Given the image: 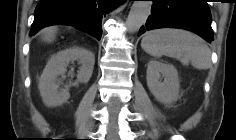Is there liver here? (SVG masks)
<instances>
[{"label":"liver","mask_w":236,"mask_h":140,"mask_svg":"<svg viewBox=\"0 0 236 140\" xmlns=\"http://www.w3.org/2000/svg\"><path fill=\"white\" fill-rule=\"evenodd\" d=\"M57 33L56 27H49L42 31V37L47 42H52L55 39Z\"/></svg>","instance_id":"obj_1"}]
</instances>
